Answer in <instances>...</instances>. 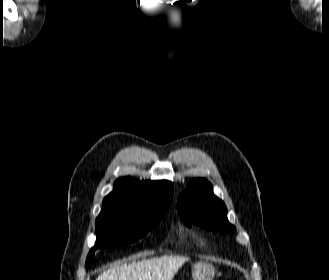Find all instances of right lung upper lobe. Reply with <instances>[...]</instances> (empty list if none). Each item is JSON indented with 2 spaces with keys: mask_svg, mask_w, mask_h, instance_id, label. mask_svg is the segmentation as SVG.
I'll list each match as a JSON object with an SVG mask.
<instances>
[{
  "mask_svg": "<svg viewBox=\"0 0 329 280\" xmlns=\"http://www.w3.org/2000/svg\"><path fill=\"white\" fill-rule=\"evenodd\" d=\"M173 184L169 181H137L126 177L116 180L114 190L103 204L121 203L148 210L157 204L171 203Z\"/></svg>",
  "mask_w": 329,
  "mask_h": 280,
  "instance_id": "right-lung-upper-lobe-1",
  "label": "right lung upper lobe"
}]
</instances>
